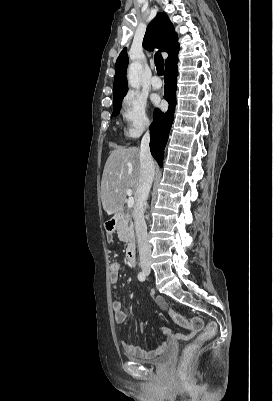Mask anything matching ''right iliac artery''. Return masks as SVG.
Instances as JSON below:
<instances>
[{
	"instance_id": "obj_1",
	"label": "right iliac artery",
	"mask_w": 273,
	"mask_h": 401,
	"mask_svg": "<svg viewBox=\"0 0 273 401\" xmlns=\"http://www.w3.org/2000/svg\"><path fill=\"white\" fill-rule=\"evenodd\" d=\"M138 279H139L140 281H145V279H146L145 273H144V272H140V273L138 274Z\"/></svg>"
}]
</instances>
